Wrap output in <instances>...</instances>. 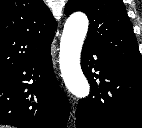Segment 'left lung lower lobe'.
Returning a JSON list of instances; mask_svg holds the SVG:
<instances>
[{"instance_id": "0a47b994", "label": "left lung lower lobe", "mask_w": 142, "mask_h": 128, "mask_svg": "<svg viewBox=\"0 0 142 128\" xmlns=\"http://www.w3.org/2000/svg\"><path fill=\"white\" fill-rule=\"evenodd\" d=\"M81 67L91 93L78 103L77 128H142V69L117 64L86 43Z\"/></svg>"}]
</instances>
